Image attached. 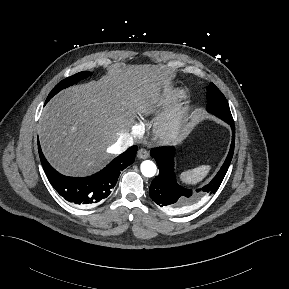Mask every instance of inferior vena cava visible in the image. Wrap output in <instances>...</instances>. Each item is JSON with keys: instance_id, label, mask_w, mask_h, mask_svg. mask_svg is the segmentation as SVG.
I'll use <instances>...</instances> for the list:
<instances>
[{"instance_id": "602c4592", "label": "inferior vena cava", "mask_w": 289, "mask_h": 289, "mask_svg": "<svg viewBox=\"0 0 289 289\" xmlns=\"http://www.w3.org/2000/svg\"><path fill=\"white\" fill-rule=\"evenodd\" d=\"M134 144L133 137L128 133L120 135L118 140L111 146V152L118 154Z\"/></svg>"}]
</instances>
